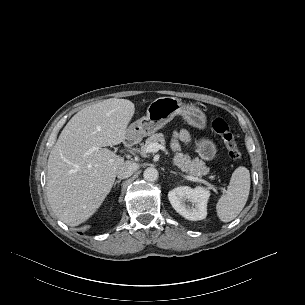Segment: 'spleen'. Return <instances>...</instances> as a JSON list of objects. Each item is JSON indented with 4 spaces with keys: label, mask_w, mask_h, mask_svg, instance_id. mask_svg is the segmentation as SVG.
I'll list each match as a JSON object with an SVG mask.
<instances>
[{
    "label": "spleen",
    "mask_w": 305,
    "mask_h": 305,
    "mask_svg": "<svg viewBox=\"0 0 305 305\" xmlns=\"http://www.w3.org/2000/svg\"><path fill=\"white\" fill-rule=\"evenodd\" d=\"M250 173L244 166L233 172L229 186L216 204V211L222 222L234 220L244 208L250 192Z\"/></svg>",
    "instance_id": "spleen-1"
}]
</instances>
